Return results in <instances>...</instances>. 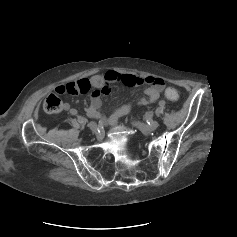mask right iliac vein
<instances>
[{"mask_svg": "<svg viewBox=\"0 0 237 237\" xmlns=\"http://www.w3.org/2000/svg\"><path fill=\"white\" fill-rule=\"evenodd\" d=\"M88 127L90 128L91 131H96L97 130V124L95 122H90L88 124Z\"/></svg>", "mask_w": 237, "mask_h": 237, "instance_id": "63e3f726", "label": "right iliac vein"}]
</instances>
